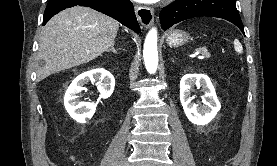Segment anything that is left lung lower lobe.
I'll return each instance as SVG.
<instances>
[{"instance_id":"1","label":"left lung lower lobe","mask_w":277,"mask_h":166,"mask_svg":"<svg viewBox=\"0 0 277 166\" xmlns=\"http://www.w3.org/2000/svg\"><path fill=\"white\" fill-rule=\"evenodd\" d=\"M201 16L223 18L244 33L235 0H175L160 12L163 30L183 20Z\"/></svg>"}]
</instances>
